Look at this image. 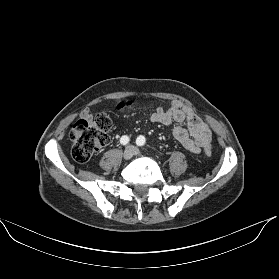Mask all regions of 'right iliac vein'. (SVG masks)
Wrapping results in <instances>:
<instances>
[{"label":"right iliac vein","instance_id":"obj_1","mask_svg":"<svg viewBox=\"0 0 279 279\" xmlns=\"http://www.w3.org/2000/svg\"><path fill=\"white\" fill-rule=\"evenodd\" d=\"M134 153H135V147L128 146V147H126V149L123 152V158L125 160H129L133 157Z\"/></svg>","mask_w":279,"mask_h":279}]
</instances>
